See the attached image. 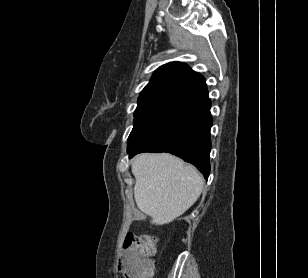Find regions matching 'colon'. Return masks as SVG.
Instances as JSON below:
<instances>
[{"label":"colon","instance_id":"colon-1","mask_svg":"<svg viewBox=\"0 0 308 278\" xmlns=\"http://www.w3.org/2000/svg\"><path fill=\"white\" fill-rule=\"evenodd\" d=\"M156 249V238L128 234L124 239L119 270L125 278H148L151 274L149 258L156 253Z\"/></svg>","mask_w":308,"mask_h":278}]
</instances>
